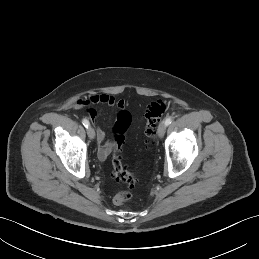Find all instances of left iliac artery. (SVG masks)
Instances as JSON below:
<instances>
[{
  "instance_id": "left-iliac-artery-1",
  "label": "left iliac artery",
  "mask_w": 259,
  "mask_h": 259,
  "mask_svg": "<svg viewBox=\"0 0 259 259\" xmlns=\"http://www.w3.org/2000/svg\"><path fill=\"white\" fill-rule=\"evenodd\" d=\"M171 122H172V118H171V117L166 118V120H165L166 126H168L169 124H171Z\"/></svg>"
}]
</instances>
